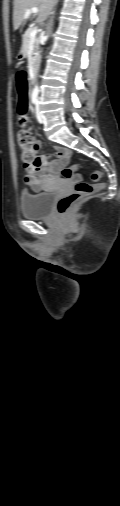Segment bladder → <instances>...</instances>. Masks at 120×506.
I'll list each match as a JSON object with an SVG mask.
<instances>
[{
  "instance_id": "31cf9c89",
  "label": "bladder",
  "mask_w": 120,
  "mask_h": 506,
  "mask_svg": "<svg viewBox=\"0 0 120 506\" xmlns=\"http://www.w3.org/2000/svg\"><path fill=\"white\" fill-rule=\"evenodd\" d=\"M55 191L40 193L22 192L19 197L22 215L29 219H43L49 216Z\"/></svg>"
}]
</instances>
